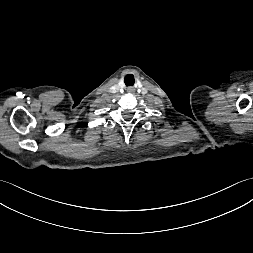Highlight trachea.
<instances>
[{
  "instance_id": "obj_1",
  "label": "trachea",
  "mask_w": 253,
  "mask_h": 253,
  "mask_svg": "<svg viewBox=\"0 0 253 253\" xmlns=\"http://www.w3.org/2000/svg\"><path fill=\"white\" fill-rule=\"evenodd\" d=\"M126 86H133L134 85V77L132 75H127L125 78Z\"/></svg>"
}]
</instances>
